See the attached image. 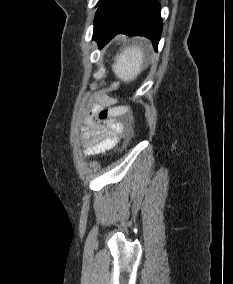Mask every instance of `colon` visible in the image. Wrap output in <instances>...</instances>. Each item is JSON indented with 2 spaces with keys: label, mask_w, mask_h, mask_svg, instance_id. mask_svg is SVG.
Masks as SVG:
<instances>
[{
  "label": "colon",
  "mask_w": 233,
  "mask_h": 284,
  "mask_svg": "<svg viewBox=\"0 0 233 284\" xmlns=\"http://www.w3.org/2000/svg\"><path fill=\"white\" fill-rule=\"evenodd\" d=\"M129 112L128 107L126 106H119L111 109H102L98 114H97V121L98 122H105L109 118L112 117H123L126 116Z\"/></svg>",
  "instance_id": "5ec220e1"
}]
</instances>
